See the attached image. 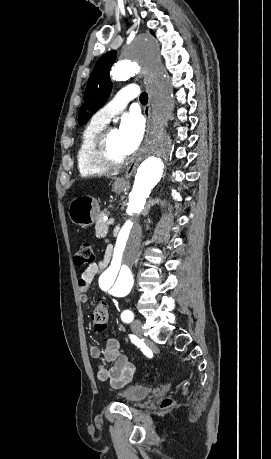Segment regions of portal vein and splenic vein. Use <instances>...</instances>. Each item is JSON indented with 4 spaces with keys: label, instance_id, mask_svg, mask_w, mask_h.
Instances as JSON below:
<instances>
[{
    "label": "portal vein and splenic vein",
    "instance_id": "1",
    "mask_svg": "<svg viewBox=\"0 0 271 459\" xmlns=\"http://www.w3.org/2000/svg\"><path fill=\"white\" fill-rule=\"evenodd\" d=\"M112 223H113L112 222V218H109V224L108 225L110 226Z\"/></svg>",
    "mask_w": 271,
    "mask_h": 459
}]
</instances>
